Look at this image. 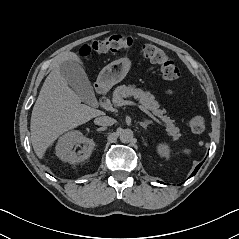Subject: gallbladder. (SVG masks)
<instances>
[{
	"label": "gallbladder",
	"instance_id": "bac80fb5",
	"mask_svg": "<svg viewBox=\"0 0 239 239\" xmlns=\"http://www.w3.org/2000/svg\"><path fill=\"white\" fill-rule=\"evenodd\" d=\"M60 72L67 83L86 102L94 99L91 83L81 65L75 61H65L60 64Z\"/></svg>",
	"mask_w": 239,
	"mask_h": 239
}]
</instances>
